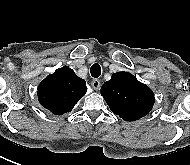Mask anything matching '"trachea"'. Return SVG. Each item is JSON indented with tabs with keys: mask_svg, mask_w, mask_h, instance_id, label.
Returning a JSON list of instances; mask_svg holds the SVG:
<instances>
[{
	"mask_svg": "<svg viewBox=\"0 0 190 165\" xmlns=\"http://www.w3.org/2000/svg\"><path fill=\"white\" fill-rule=\"evenodd\" d=\"M91 76L98 78L101 75V67L99 64H93L90 69Z\"/></svg>",
	"mask_w": 190,
	"mask_h": 165,
	"instance_id": "obj_1",
	"label": "trachea"
}]
</instances>
